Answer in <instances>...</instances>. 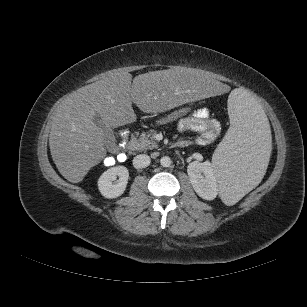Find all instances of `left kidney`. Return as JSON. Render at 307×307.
<instances>
[{"label":"left kidney","mask_w":307,"mask_h":307,"mask_svg":"<svg viewBox=\"0 0 307 307\" xmlns=\"http://www.w3.org/2000/svg\"><path fill=\"white\" fill-rule=\"evenodd\" d=\"M187 173L195 192L205 200H213L218 195L217 178L210 162H191Z\"/></svg>","instance_id":"1"}]
</instances>
